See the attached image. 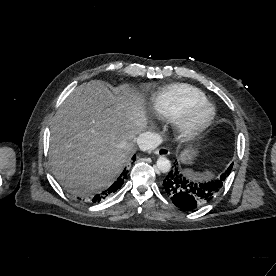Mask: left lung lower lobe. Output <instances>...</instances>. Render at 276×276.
<instances>
[{
	"mask_svg": "<svg viewBox=\"0 0 276 276\" xmlns=\"http://www.w3.org/2000/svg\"><path fill=\"white\" fill-rule=\"evenodd\" d=\"M232 167L233 164L214 181L198 183L173 166L163 181V189L176 206L186 210L199 208L218 195Z\"/></svg>",
	"mask_w": 276,
	"mask_h": 276,
	"instance_id": "0a47b994",
	"label": "left lung lower lobe"
}]
</instances>
